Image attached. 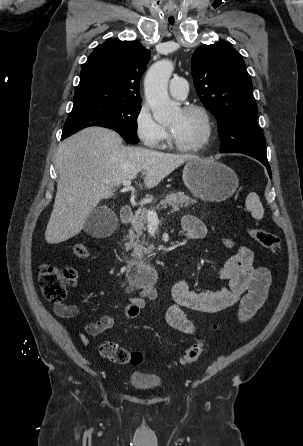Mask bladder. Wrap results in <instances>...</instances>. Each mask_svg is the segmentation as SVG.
Returning <instances> with one entry per match:
<instances>
[{
    "label": "bladder",
    "instance_id": "obj_1",
    "mask_svg": "<svg viewBox=\"0 0 303 446\" xmlns=\"http://www.w3.org/2000/svg\"><path fill=\"white\" fill-rule=\"evenodd\" d=\"M131 386L140 390L158 391L164 388L161 378L143 372H135L130 376Z\"/></svg>",
    "mask_w": 303,
    "mask_h": 446
}]
</instances>
